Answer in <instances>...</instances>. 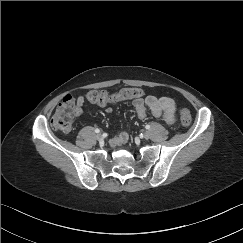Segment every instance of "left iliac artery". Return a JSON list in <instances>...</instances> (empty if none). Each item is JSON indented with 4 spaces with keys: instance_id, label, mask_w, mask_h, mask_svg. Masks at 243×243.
<instances>
[{
    "instance_id": "1",
    "label": "left iliac artery",
    "mask_w": 243,
    "mask_h": 243,
    "mask_svg": "<svg viewBox=\"0 0 243 243\" xmlns=\"http://www.w3.org/2000/svg\"><path fill=\"white\" fill-rule=\"evenodd\" d=\"M145 128H146V129H150V125L147 124V125L145 126Z\"/></svg>"
}]
</instances>
